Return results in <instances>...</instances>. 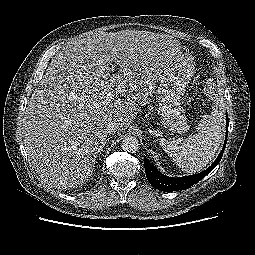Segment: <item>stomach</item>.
I'll use <instances>...</instances> for the list:
<instances>
[{"label": "stomach", "instance_id": "0dacf381", "mask_svg": "<svg viewBox=\"0 0 255 255\" xmlns=\"http://www.w3.org/2000/svg\"><path fill=\"white\" fill-rule=\"evenodd\" d=\"M195 64L188 53L181 52L160 75L158 104L161 123L172 132L188 130L187 117L180 104L181 96L193 75Z\"/></svg>", "mask_w": 255, "mask_h": 255}]
</instances>
